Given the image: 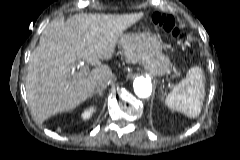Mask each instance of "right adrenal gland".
<instances>
[{
    "instance_id": "1",
    "label": "right adrenal gland",
    "mask_w": 240,
    "mask_h": 160,
    "mask_svg": "<svg viewBox=\"0 0 240 160\" xmlns=\"http://www.w3.org/2000/svg\"><path fill=\"white\" fill-rule=\"evenodd\" d=\"M103 91H104V89H97V90L94 92V95H100V96H102V95H103Z\"/></svg>"
}]
</instances>
